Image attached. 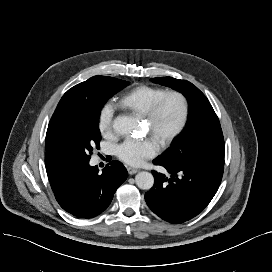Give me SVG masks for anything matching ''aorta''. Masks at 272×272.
Wrapping results in <instances>:
<instances>
[{
	"label": "aorta",
	"instance_id": "762f6f07",
	"mask_svg": "<svg viewBox=\"0 0 272 272\" xmlns=\"http://www.w3.org/2000/svg\"><path fill=\"white\" fill-rule=\"evenodd\" d=\"M113 129L119 135H131L138 131V121L132 116L120 115L113 121ZM135 181L140 189L149 190L154 184V177L151 173L142 171L136 175Z\"/></svg>",
	"mask_w": 272,
	"mask_h": 272
}]
</instances>
